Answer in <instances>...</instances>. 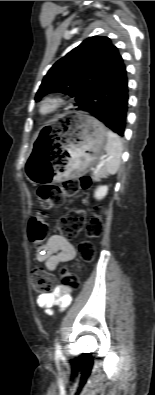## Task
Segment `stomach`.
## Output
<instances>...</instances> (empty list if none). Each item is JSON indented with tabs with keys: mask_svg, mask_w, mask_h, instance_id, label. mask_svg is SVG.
Masks as SVG:
<instances>
[{
	"mask_svg": "<svg viewBox=\"0 0 155 395\" xmlns=\"http://www.w3.org/2000/svg\"><path fill=\"white\" fill-rule=\"evenodd\" d=\"M66 124L57 146L35 148L30 153L25 174L32 183H47L74 177L87 171L100 157L107 142V130L96 118L85 112L66 115Z\"/></svg>",
	"mask_w": 155,
	"mask_h": 395,
	"instance_id": "stomach-1",
	"label": "stomach"
}]
</instances>
